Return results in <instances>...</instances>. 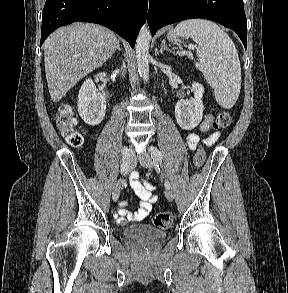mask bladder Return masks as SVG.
<instances>
[{"label":"bladder","instance_id":"obj_1","mask_svg":"<svg viewBox=\"0 0 288 293\" xmlns=\"http://www.w3.org/2000/svg\"><path fill=\"white\" fill-rule=\"evenodd\" d=\"M122 234L128 239L144 238L149 240H162L167 236L165 231L143 224L128 226Z\"/></svg>","mask_w":288,"mask_h":293}]
</instances>
